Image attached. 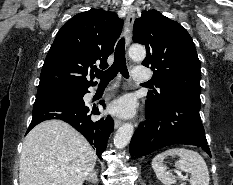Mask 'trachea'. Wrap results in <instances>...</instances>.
Segmentation results:
<instances>
[{
  "instance_id": "3493384b",
  "label": "trachea",
  "mask_w": 233,
  "mask_h": 185,
  "mask_svg": "<svg viewBox=\"0 0 233 185\" xmlns=\"http://www.w3.org/2000/svg\"><path fill=\"white\" fill-rule=\"evenodd\" d=\"M120 72L123 77L129 78L128 69L126 66L125 59V39L122 38L119 40L115 53H114V62L111 67L105 71L98 70L95 75L100 79V84H108L114 77Z\"/></svg>"
}]
</instances>
